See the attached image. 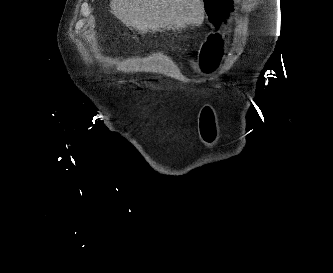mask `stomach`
<instances>
[{
  "mask_svg": "<svg viewBox=\"0 0 333 273\" xmlns=\"http://www.w3.org/2000/svg\"><path fill=\"white\" fill-rule=\"evenodd\" d=\"M210 15V23H214L218 31H212L210 39L202 44L200 64L195 65L198 72L209 74L216 67V60H208L205 56H222L223 51H231V44H226L227 33L231 27L227 25L229 14H233L230 0H202Z\"/></svg>",
  "mask_w": 333,
  "mask_h": 273,
  "instance_id": "stomach-1",
  "label": "stomach"
}]
</instances>
